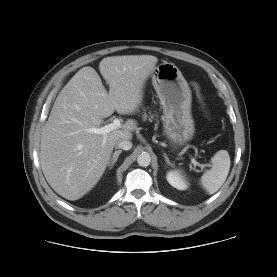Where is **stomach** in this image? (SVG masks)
<instances>
[{
	"label": "stomach",
	"mask_w": 277,
	"mask_h": 277,
	"mask_svg": "<svg viewBox=\"0 0 277 277\" xmlns=\"http://www.w3.org/2000/svg\"><path fill=\"white\" fill-rule=\"evenodd\" d=\"M152 84L163 108L164 132L173 144L181 145L194 135L191 90L179 68L164 61L154 68Z\"/></svg>",
	"instance_id": "1"
}]
</instances>
